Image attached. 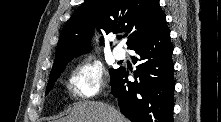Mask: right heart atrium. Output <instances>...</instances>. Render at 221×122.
Returning a JSON list of instances; mask_svg holds the SVG:
<instances>
[{
	"mask_svg": "<svg viewBox=\"0 0 221 122\" xmlns=\"http://www.w3.org/2000/svg\"><path fill=\"white\" fill-rule=\"evenodd\" d=\"M70 91L74 98L88 99L97 95L104 87V73L100 64L84 60L71 72Z\"/></svg>",
	"mask_w": 221,
	"mask_h": 122,
	"instance_id": "1",
	"label": "right heart atrium"
}]
</instances>
